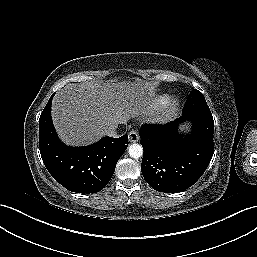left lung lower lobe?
<instances>
[{"instance_id":"obj_1","label":"left lung lower lobe","mask_w":257,"mask_h":257,"mask_svg":"<svg viewBox=\"0 0 257 257\" xmlns=\"http://www.w3.org/2000/svg\"><path fill=\"white\" fill-rule=\"evenodd\" d=\"M165 125H143L140 143L145 181L156 191L174 193L191 187L207 169L213 153L212 114L190 113ZM190 120L192 132L177 133L180 122Z\"/></svg>"}]
</instances>
